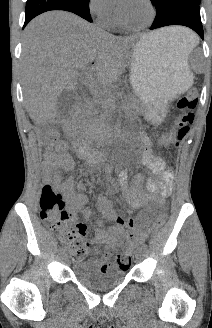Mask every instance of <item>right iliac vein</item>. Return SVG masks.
I'll list each match as a JSON object with an SVG mask.
<instances>
[{"mask_svg": "<svg viewBox=\"0 0 212 328\" xmlns=\"http://www.w3.org/2000/svg\"><path fill=\"white\" fill-rule=\"evenodd\" d=\"M62 256H63V259H64L65 261L68 260V254H67V252H63V253H62Z\"/></svg>", "mask_w": 212, "mask_h": 328, "instance_id": "63e3f726", "label": "right iliac vein"}]
</instances>
